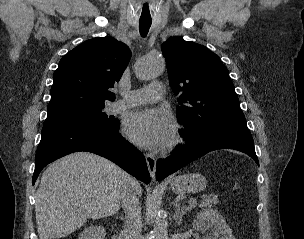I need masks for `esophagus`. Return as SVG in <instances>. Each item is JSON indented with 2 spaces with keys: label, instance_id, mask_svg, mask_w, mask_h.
Returning a JSON list of instances; mask_svg holds the SVG:
<instances>
[{
  "label": "esophagus",
  "instance_id": "obj_1",
  "mask_svg": "<svg viewBox=\"0 0 304 239\" xmlns=\"http://www.w3.org/2000/svg\"><path fill=\"white\" fill-rule=\"evenodd\" d=\"M146 163L152 180H155L156 174V159L152 154H145Z\"/></svg>",
  "mask_w": 304,
  "mask_h": 239
}]
</instances>
